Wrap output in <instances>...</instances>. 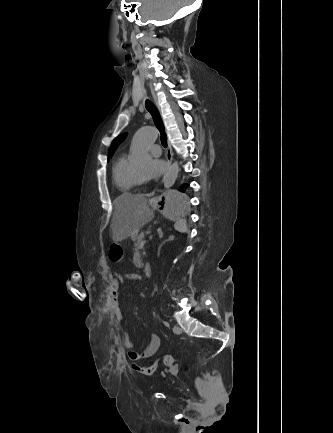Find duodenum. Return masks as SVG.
Returning a JSON list of instances; mask_svg holds the SVG:
<instances>
[{
  "label": "duodenum",
  "instance_id": "obj_1",
  "mask_svg": "<svg viewBox=\"0 0 333 433\" xmlns=\"http://www.w3.org/2000/svg\"><path fill=\"white\" fill-rule=\"evenodd\" d=\"M131 240L134 242L136 239L133 237ZM143 270H144V274H145L146 277H150L151 276V274H152V266H151L150 263H148V262L145 263L144 267H143Z\"/></svg>",
  "mask_w": 333,
  "mask_h": 433
}]
</instances>
